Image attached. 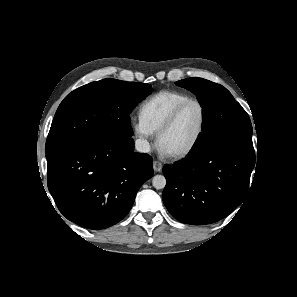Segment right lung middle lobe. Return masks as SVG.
Instances as JSON below:
<instances>
[{
    "label": "right lung middle lobe",
    "mask_w": 297,
    "mask_h": 297,
    "mask_svg": "<svg viewBox=\"0 0 297 297\" xmlns=\"http://www.w3.org/2000/svg\"><path fill=\"white\" fill-rule=\"evenodd\" d=\"M151 92L149 84L111 78L72 91L55 114L46 141V158L86 142L131 137L129 114Z\"/></svg>",
    "instance_id": "dd1d6c3e"
}]
</instances>
